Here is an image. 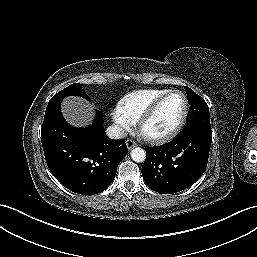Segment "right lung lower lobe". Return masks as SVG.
I'll return each instance as SVG.
<instances>
[{"instance_id":"obj_1","label":"right lung lower lobe","mask_w":257,"mask_h":257,"mask_svg":"<svg viewBox=\"0 0 257 257\" xmlns=\"http://www.w3.org/2000/svg\"><path fill=\"white\" fill-rule=\"evenodd\" d=\"M61 101H49L41 127L47 166L72 192L98 194L112 183L118 164L127 154L125 140H111L105 135L100 112L93 125L72 127L62 117Z\"/></svg>"}]
</instances>
